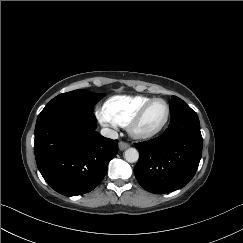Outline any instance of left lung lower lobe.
<instances>
[{"label": "left lung lower lobe", "instance_id": "left-lung-lower-lobe-1", "mask_svg": "<svg viewBox=\"0 0 243 243\" xmlns=\"http://www.w3.org/2000/svg\"><path fill=\"white\" fill-rule=\"evenodd\" d=\"M202 145L197 115L171 121L159 137L135 144L139 151L134 168L137 181L156 194L184 187L198 168Z\"/></svg>", "mask_w": 243, "mask_h": 243}]
</instances>
